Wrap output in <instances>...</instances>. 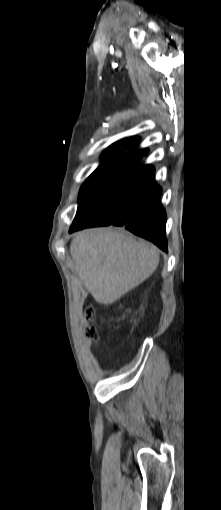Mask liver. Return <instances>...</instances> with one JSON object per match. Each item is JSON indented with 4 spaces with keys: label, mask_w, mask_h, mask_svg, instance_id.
<instances>
[{
    "label": "liver",
    "mask_w": 221,
    "mask_h": 510,
    "mask_svg": "<svg viewBox=\"0 0 221 510\" xmlns=\"http://www.w3.org/2000/svg\"><path fill=\"white\" fill-rule=\"evenodd\" d=\"M70 254L84 287L96 302L104 305L143 283L159 264L153 244L113 228L77 233Z\"/></svg>",
    "instance_id": "1"
}]
</instances>
